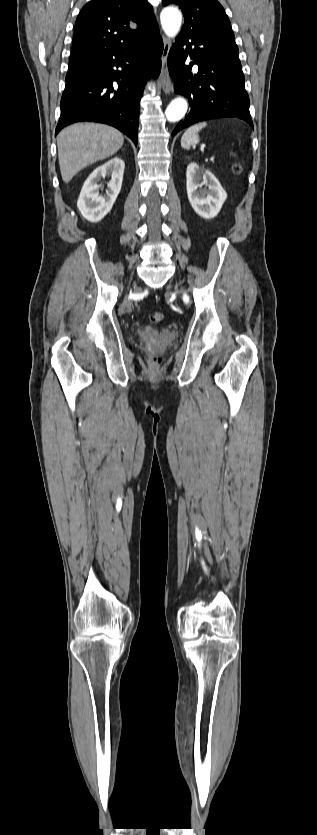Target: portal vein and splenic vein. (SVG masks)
I'll return each instance as SVG.
<instances>
[{
    "instance_id": "1",
    "label": "portal vein and splenic vein",
    "mask_w": 317,
    "mask_h": 835,
    "mask_svg": "<svg viewBox=\"0 0 317 835\" xmlns=\"http://www.w3.org/2000/svg\"><path fill=\"white\" fill-rule=\"evenodd\" d=\"M209 161H210V162H212V163H214V162H215V157H213V156H212V157H210V158H209Z\"/></svg>"
}]
</instances>
